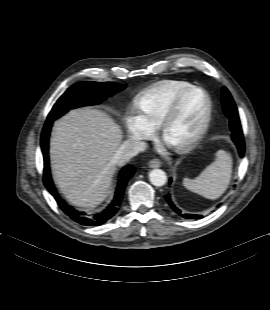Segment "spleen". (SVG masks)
Returning <instances> with one entry per match:
<instances>
[{
    "label": "spleen",
    "mask_w": 270,
    "mask_h": 310,
    "mask_svg": "<svg viewBox=\"0 0 270 310\" xmlns=\"http://www.w3.org/2000/svg\"><path fill=\"white\" fill-rule=\"evenodd\" d=\"M232 157L219 150L215 161L206 167L195 179L185 178L184 186L207 199H218L228 188L232 176Z\"/></svg>",
    "instance_id": "1"
}]
</instances>
